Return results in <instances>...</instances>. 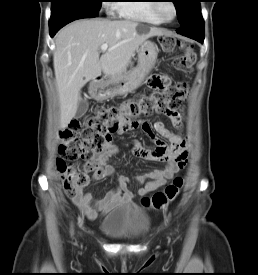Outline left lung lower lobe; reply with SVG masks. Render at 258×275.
I'll return each instance as SVG.
<instances>
[{
  "instance_id": "left-lung-lower-lobe-1",
  "label": "left lung lower lobe",
  "mask_w": 258,
  "mask_h": 275,
  "mask_svg": "<svg viewBox=\"0 0 258 275\" xmlns=\"http://www.w3.org/2000/svg\"><path fill=\"white\" fill-rule=\"evenodd\" d=\"M177 33L203 43L204 20L201 14L200 5L192 9L189 20L181 25Z\"/></svg>"
}]
</instances>
